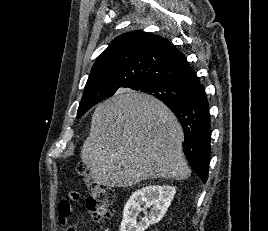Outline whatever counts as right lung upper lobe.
I'll return each instance as SVG.
<instances>
[{"mask_svg":"<svg viewBox=\"0 0 268 231\" xmlns=\"http://www.w3.org/2000/svg\"><path fill=\"white\" fill-rule=\"evenodd\" d=\"M149 80L187 91L199 83L184 55L167 39L140 30L122 34L98 56L81 103L97 104L119 88Z\"/></svg>","mask_w":268,"mask_h":231,"instance_id":"cb5924a9","label":"right lung upper lobe"}]
</instances>
